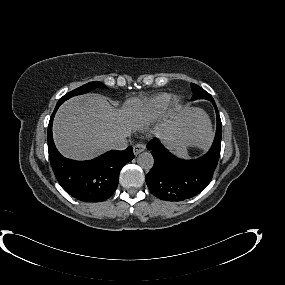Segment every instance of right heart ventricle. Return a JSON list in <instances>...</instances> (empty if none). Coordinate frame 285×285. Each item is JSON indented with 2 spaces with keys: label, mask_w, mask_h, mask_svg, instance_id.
Returning a JSON list of instances; mask_svg holds the SVG:
<instances>
[{
  "label": "right heart ventricle",
  "mask_w": 285,
  "mask_h": 285,
  "mask_svg": "<svg viewBox=\"0 0 285 285\" xmlns=\"http://www.w3.org/2000/svg\"><path fill=\"white\" fill-rule=\"evenodd\" d=\"M171 99V94L161 93L145 101L137 112L140 120L148 123L161 116L169 107Z\"/></svg>",
  "instance_id": "1"
}]
</instances>
